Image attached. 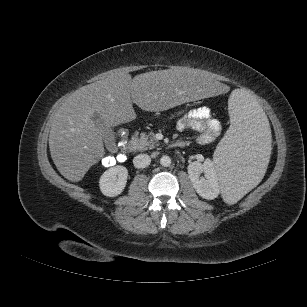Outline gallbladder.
Listing matches in <instances>:
<instances>
[{
    "label": "gallbladder",
    "instance_id": "1",
    "mask_svg": "<svg viewBox=\"0 0 307 307\" xmlns=\"http://www.w3.org/2000/svg\"><path fill=\"white\" fill-rule=\"evenodd\" d=\"M92 120L95 123V125L101 129L103 134V139L106 143H110L114 140V132L112 131L111 127L108 126L105 121L101 118L100 115L95 113L92 116Z\"/></svg>",
    "mask_w": 307,
    "mask_h": 307
}]
</instances>
